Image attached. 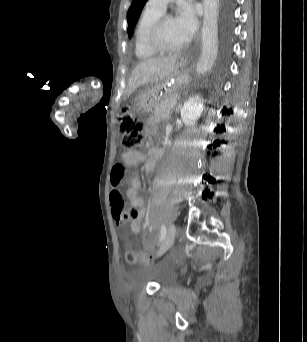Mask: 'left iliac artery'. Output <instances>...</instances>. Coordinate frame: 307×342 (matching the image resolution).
<instances>
[{"label": "left iliac artery", "instance_id": "44dca946", "mask_svg": "<svg viewBox=\"0 0 307 342\" xmlns=\"http://www.w3.org/2000/svg\"><path fill=\"white\" fill-rule=\"evenodd\" d=\"M166 226L164 224L161 225V230H160V242L165 238L166 236Z\"/></svg>", "mask_w": 307, "mask_h": 342}]
</instances>
